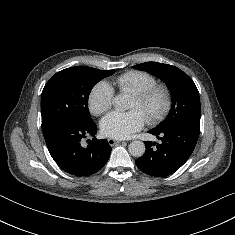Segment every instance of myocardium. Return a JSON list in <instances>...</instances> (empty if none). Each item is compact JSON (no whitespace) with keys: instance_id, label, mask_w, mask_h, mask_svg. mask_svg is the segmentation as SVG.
I'll list each match as a JSON object with an SVG mask.
<instances>
[{"instance_id":"1","label":"myocardium","mask_w":235,"mask_h":235,"mask_svg":"<svg viewBox=\"0 0 235 235\" xmlns=\"http://www.w3.org/2000/svg\"><path fill=\"white\" fill-rule=\"evenodd\" d=\"M133 96L143 104H150L155 99L160 98V106L152 110L147 118L149 124H157L165 119L173 103L172 92L169 87L164 84H155L146 90L133 93Z\"/></svg>"}]
</instances>
